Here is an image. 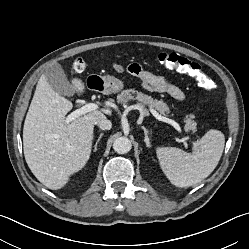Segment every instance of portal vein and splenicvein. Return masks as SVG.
<instances>
[{
  "mask_svg": "<svg viewBox=\"0 0 249 249\" xmlns=\"http://www.w3.org/2000/svg\"><path fill=\"white\" fill-rule=\"evenodd\" d=\"M96 109H98V105L97 104H94V103H88V104H85L84 106H82L81 108L73 111L72 113H70L68 116H66L65 118V122L66 123H69L73 120H75L76 118L82 116V115H85L86 113L88 112H91V111H95ZM138 109L140 110L141 114L142 115H145V110L141 107V106H138ZM151 110V113L153 114V116L160 120V121H163V122H166V123H169L171 124L178 132H182V129L180 127V125L172 120V119H169L167 117H164V116H161L159 113H157L154 109H150Z\"/></svg>",
  "mask_w": 249,
  "mask_h": 249,
  "instance_id": "18ae733b",
  "label": "portal vein and splenic vein"
}]
</instances>
